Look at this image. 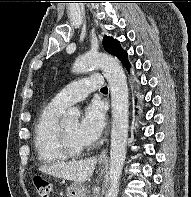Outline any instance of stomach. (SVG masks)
I'll return each mask as SVG.
<instances>
[{
  "label": "stomach",
  "instance_id": "0dacf381",
  "mask_svg": "<svg viewBox=\"0 0 191 197\" xmlns=\"http://www.w3.org/2000/svg\"><path fill=\"white\" fill-rule=\"evenodd\" d=\"M100 164L104 163V161H99ZM67 197H85L86 188L81 182H73L67 188L66 191Z\"/></svg>",
  "mask_w": 191,
  "mask_h": 197
}]
</instances>
